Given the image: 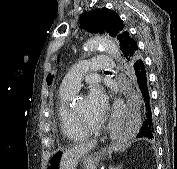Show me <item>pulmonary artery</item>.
Listing matches in <instances>:
<instances>
[{
    "mask_svg": "<svg viewBox=\"0 0 177 169\" xmlns=\"http://www.w3.org/2000/svg\"><path fill=\"white\" fill-rule=\"evenodd\" d=\"M113 60L108 56H98L76 63L65 75L61 89L78 91L84 72H99L111 68Z\"/></svg>",
    "mask_w": 177,
    "mask_h": 169,
    "instance_id": "pulmonary-artery-1",
    "label": "pulmonary artery"
}]
</instances>
